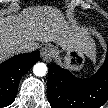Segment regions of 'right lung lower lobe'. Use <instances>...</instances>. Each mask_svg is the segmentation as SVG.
<instances>
[{"instance_id":"obj_1","label":"right lung lower lobe","mask_w":108,"mask_h":108,"mask_svg":"<svg viewBox=\"0 0 108 108\" xmlns=\"http://www.w3.org/2000/svg\"><path fill=\"white\" fill-rule=\"evenodd\" d=\"M40 59V52L19 54L0 65V108L10 105L17 94L19 81Z\"/></svg>"}]
</instances>
